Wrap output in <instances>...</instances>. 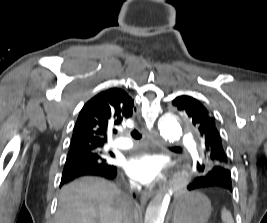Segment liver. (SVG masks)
Segmentation results:
<instances>
[{
  "label": "liver",
  "instance_id": "obj_1",
  "mask_svg": "<svg viewBox=\"0 0 267 223\" xmlns=\"http://www.w3.org/2000/svg\"><path fill=\"white\" fill-rule=\"evenodd\" d=\"M126 205V196L115 184L84 177L62 188L55 223H123Z\"/></svg>",
  "mask_w": 267,
  "mask_h": 223
}]
</instances>
